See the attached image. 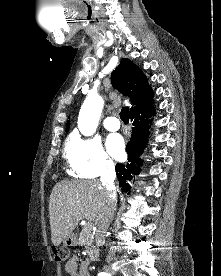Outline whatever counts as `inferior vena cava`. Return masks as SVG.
<instances>
[{"mask_svg": "<svg viewBox=\"0 0 221 276\" xmlns=\"http://www.w3.org/2000/svg\"><path fill=\"white\" fill-rule=\"evenodd\" d=\"M115 177L116 173L114 164L106 163L100 180L102 185L107 190L108 199L104 214L98 221L97 225V231L95 234V242L97 246H102L105 243L106 231L108 230V227L112 222L116 211V187L114 184Z\"/></svg>", "mask_w": 221, "mask_h": 276, "instance_id": "1", "label": "inferior vena cava"}]
</instances>
